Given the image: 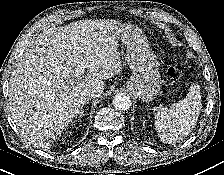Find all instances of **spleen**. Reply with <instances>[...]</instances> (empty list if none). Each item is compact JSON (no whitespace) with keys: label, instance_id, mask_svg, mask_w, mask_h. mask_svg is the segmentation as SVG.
<instances>
[{"label":"spleen","instance_id":"1","mask_svg":"<svg viewBox=\"0 0 224 175\" xmlns=\"http://www.w3.org/2000/svg\"><path fill=\"white\" fill-rule=\"evenodd\" d=\"M201 107L200 87L194 83L183 100L157 110L155 127L161 141L172 144L186 137L196 125Z\"/></svg>","mask_w":224,"mask_h":175}]
</instances>
